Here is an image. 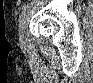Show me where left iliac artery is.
I'll use <instances>...</instances> for the list:
<instances>
[{
	"instance_id": "obj_1",
	"label": "left iliac artery",
	"mask_w": 93,
	"mask_h": 83,
	"mask_svg": "<svg viewBox=\"0 0 93 83\" xmlns=\"http://www.w3.org/2000/svg\"><path fill=\"white\" fill-rule=\"evenodd\" d=\"M27 10H28V6H25V7L23 8V10H22L21 15L19 16V22H20V24L22 23L23 18L25 17Z\"/></svg>"
}]
</instances>
